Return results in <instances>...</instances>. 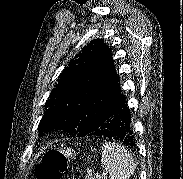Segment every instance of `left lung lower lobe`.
I'll return each instance as SVG.
<instances>
[{
    "instance_id": "left-lung-lower-lobe-1",
    "label": "left lung lower lobe",
    "mask_w": 183,
    "mask_h": 179,
    "mask_svg": "<svg viewBox=\"0 0 183 179\" xmlns=\"http://www.w3.org/2000/svg\"><path fill=\"white\" fill-rule=\"evenodd\" d=\"M131 123L129 108L120 91L114 107L106 115L103 123L90 135L101 136L121 142L133 150L135 147V139Z\"/></svg>"
}]
</instances>
